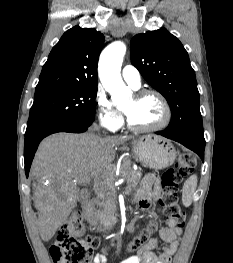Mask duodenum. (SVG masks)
Masks as SVG:
<instances>
[{"instance_id": "obj_1", "label": "duodenum", "mask_w": 233, "mask_h": 263, "mask_svg": "<svg viewBox=\"0 0 233 263\" xmlns=\"http://www.w3.org/2000/svg\"><path fill=\"white\" fill-rule=\"evenodd\" d=\"M83 213L87 220L91 221L93 219V208L89 199H86L84 202Z\"/></svg>"}]
</instances>
